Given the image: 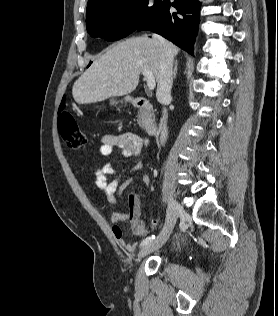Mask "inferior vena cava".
I'll return each mask as SVG.
<instances>
[{"label": "inferior vena cava", "instance_id": "602c4592", "mask_svg": "<svg viewBox=\"0 0 278 316\" xmlns=\"http://www.w3.org/2000/svg\"><path fill=\"white\" fill-rule=\"evenodd\" d=\"M153 38L158 39L163 45V55L160 65V78L158 81L156 97L161 104H166L171 99L174 55L167 41H165L162 37L158 35H153ZM167 119L168 113L166 108H164L161 119L162 127L160 134V142L162 145L165 144L168 137Z\"/></svg>", "mask_w": 278, "mask_h": 316}]
</instances>
